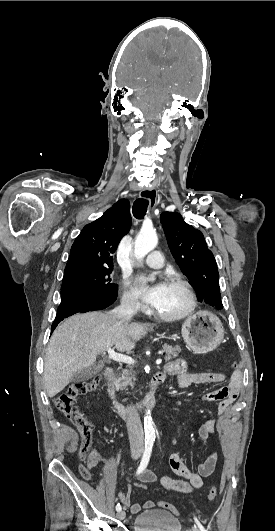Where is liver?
<instances>
[{"label": "liver", "instance_id": "liver-1", "mask_svg": "<svg viewBox=\"0 0 275 531\" xmlns=\"http://www.w3.org/2000/svg\"><path fill=\"white\" fill-rule=\"evenodd\" d=\"M108 313L73 315L55 329L44 363V383L48 397H55L69 385L74 373L95 365L99 353L113 347L132 351L152 327L120 321Z\"/></svg>", "mask_w": 275, "mask_h": 531}]
</instances>
